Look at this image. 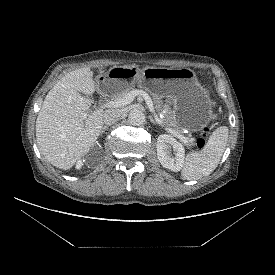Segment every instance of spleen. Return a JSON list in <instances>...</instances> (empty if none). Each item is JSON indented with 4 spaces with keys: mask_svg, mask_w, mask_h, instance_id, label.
<instances>
[{
    "mask_svg": "<svg viewBox=\"0 0 275 275\" xmlns=\"http://www.w3.org/2000/svg\"><path fill=\"white\" fill-rule=\"evenodd\" d=\"M229 129L217 128L201 151L187 154L181 176L185 180H198L210 175L218 166L225 151Z\"/></svg>",
    "mask_w": 275,
    "mask_h": 275,
    "instance_id": "obj_1",
    "label": "spleen"
}]
</instances>
